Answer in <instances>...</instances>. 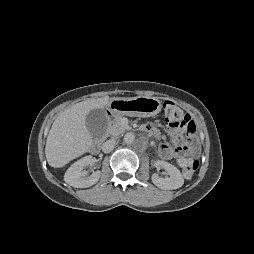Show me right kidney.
Masks as SVG:
<instances>
[{
    "mask_svg": "<svg viewBox=\"0 0 254 254\" xmlns=\"http://www.w3.org/2000/svg\"><path fill=\"white\" fill-rule=\"evenodd\" d=\"M93 164L92 156H86L70 166L64 175L67 184L76 188H86L96 184L100 178V171L93 172L90 176L83 171Z\"/></svg>",
    "mask_w": 254,
    "mask_h": 254,
    "instance_id": "right-kidney-1",
    "label": "right kidney"
}]
</instances>
